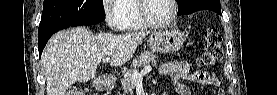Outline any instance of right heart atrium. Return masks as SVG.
Returning <instances> with one entry per match:
<instances>
[{"label":"right heart atrium","mask_w":277,"mask_h":95,"mask_svg":"<svg viewBox=\"0 0 277 95\" xmlns=\"http://www.w3.org/2000/svg\"><path fill=\"white\" fill-rule=\"evenodd\" d=\"M121 1L123 0H104L102 4L106 22L112 30H120L122 28V14L117 10V6Z\"/></svg>","instance_id":"right-heart-atrium-1"}]
</instances>
